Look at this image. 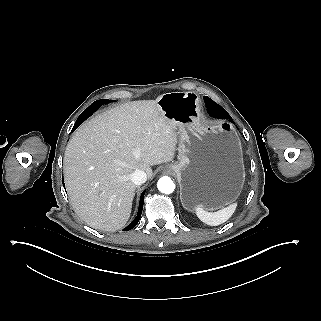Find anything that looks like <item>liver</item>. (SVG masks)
<instances>
[{
	"label": "liver",
	"mask_w": 321,
	"mask_h": 321,
	"mask_svg": "<svg viewBox=\"0 0 321 321\" xmlns=\"http://www.w3.org/2000/svg\"><path fill=\"white\" fill-rule=\"evenodd\" d=\"M156 100L120 104L84 122L74 132L64 155V180L74 211L90 227L116 231L130 217L136 185L130 175L170 162L176 129Z\"/></svg>",
	"instance_id": "liver-1"
}]
</instances>
